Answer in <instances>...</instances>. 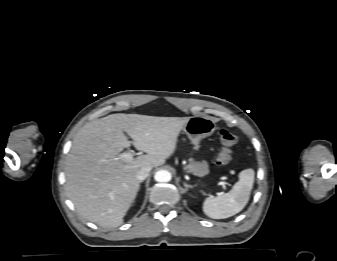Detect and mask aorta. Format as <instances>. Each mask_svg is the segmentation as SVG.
I'll list each match as a JSON object with an SVG mask.
<instances>
[{"label": "aorta", "instance_id": "1", "mask_svg": "<svg viewBox=\"0 0 337 261\" xmlns=\"http://www.w3.org/2000/svg\"><path fill=\"white\" fill-rule=\"evenodd\" d=\"M154 179L157 182H169L171 180V173L167 170H159L155 173Z\"/></svg>", "mask_w": 337, "mask_h": 261}]
</instances>
